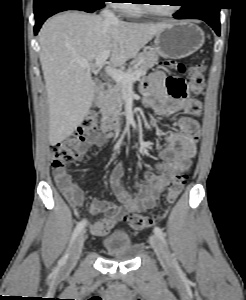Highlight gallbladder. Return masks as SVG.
<instances>
[{
    "label": "gallbladder",
    "instance_id": "1",
    "mask_svg": "<svg viewBox=\"0 0 246 300\" xmlns=\"http://www.w3.org/2000/svg\"><path fill=\"white\" fill-rule=\"evenodd\" d=\"M95 90H96V91H95V95H96V97H97V96H98V83L95 84Z\"/></svg>",
    "mask_w": 246,
    "mask_h": 300
}]
</instances>
